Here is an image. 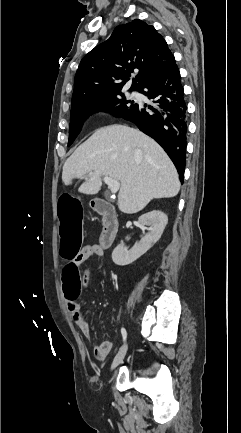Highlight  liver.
Listing matches in <instances>:
<instances>
[{
    "instance_id": "liver-1",
    "label": "liver",
    "mask_w": 241,
    "mask_h": 433,
    "mask_svg": "<svg viewBox=\"0 0 241 433\" xmlns=\"http://www.w3.org/2000/svg\"><path fill=\"white\" fill-rule=\"evenodd\" d=\"M102 176L121 183L118 208L127 214L141 211L152 199L174 197L180 190L177 170L160 145L125 125L95 131L66 160L62 181L70 185L75 178H85L78 191L94 195L102 186Z\"/></svg>"
}]
</instances>
